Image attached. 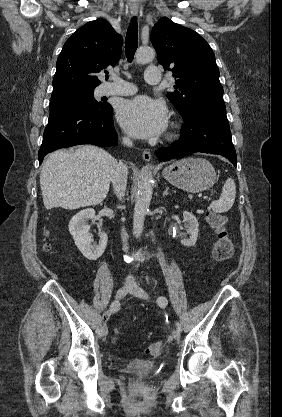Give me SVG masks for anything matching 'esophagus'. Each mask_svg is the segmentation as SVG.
<instances>
[{"label": "esophagus", "instance_id": "34e87169", "mask_svg": "<svg viewBox=\"0 0 282 417\" xmlns=\"http://www.w3.org/2000/svg\"><path fill=\"white\" fill-rule=\"evenodd\" d=\"M137 13H138V10L131 11L132 15H137ZM142 155H143V160H145L146 162H150V160H151L150 152L144 151Z\"/></svg>", "mask_w": 282, "mask_h": 417}]
</instances>
